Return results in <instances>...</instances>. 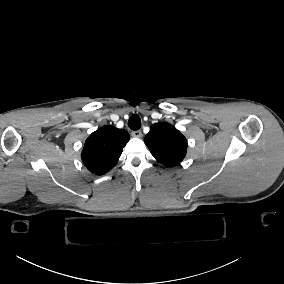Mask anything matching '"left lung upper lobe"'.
<instances>
[{
    "instance_id": "1",
    "label": "left lung upper lobe",
    "mask_w": 284,
    "mask_h": 284,
    "mask_svg": "<svg viewBox=\"0 0 284 284\" xmlns=\"http://www.w3.org/2000/svg\"><path fill=\"white\" fill-rule=\"evenodd\" d=\"M145 144L154 158L168 167L179 164L186 155V138L168 123L153 124L145 136Z\"/></svg>"
}]
</instances>
